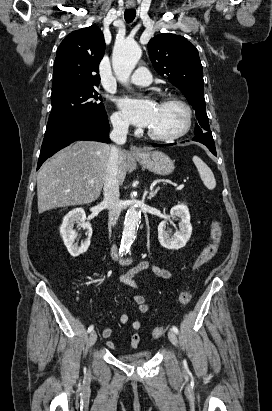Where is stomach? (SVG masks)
Here are the masks:
<instances>
[{"instance_id": "obj_1", "label": "stomach", "mask_w": 272, "mask_h": 411, "mask_svg": "<svg viewBox=\"0 0 272 411\" xmlns=\"http://www.w3.org/2000/svg\"><path fill=\"white\" fill-rule=\"evenodd\" d=\"M135 158L143 167L158 175H169L175 168L174 162L161 151H147Z\"/></svg>"}]
</instances>
